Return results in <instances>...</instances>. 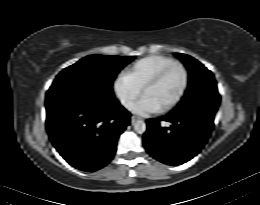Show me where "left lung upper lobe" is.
<instances>
[{"instance_id": "left-lung-upper-lobe-1", "label": "left lung upper lobe", "mask_w": 260, "mask_h": 205, "mask_svg": "<svg viewBox=\"0 0 260 205\" xmlns=\"http://www.w3.org/2000/svg\"><path fill=\"white\" fill-rule=\"evenodd\" d=\"M175 55L189 70V86L173 111H200L214 116L220 103L214 75L193 57L181 53Z\"/></svg>"}]
</instances>
